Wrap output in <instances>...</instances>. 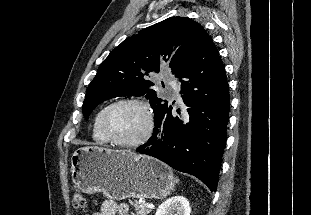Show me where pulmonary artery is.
Masks as SVG:
<instances>
[{"label":"pulmonary artery","instance_id":"pulmonary-artery-1","mask_svg":"<svg viewBox=\"0 0 311 215\" xmlns=\"http://www.w3.org/2000/svg\"><path fill=\"white\" fill-rule=\"evenodd\" d=\"M167 83L169 85V88L171 90L172 95L176 98H179L180 97V91H181L180 84L174 79H168Z\"/></svg>","mask_w":311,"mask_h":215}]
</instances>
